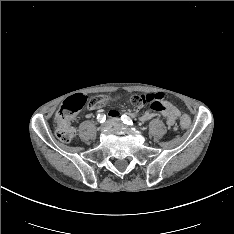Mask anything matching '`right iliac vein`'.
Returning a JSON list of instances; mask_svg holds the SVG:
<instances>
[{"label": "right iliac vein", "instance_id": "63e3f726", "mask_svg": "<svg viewBox=\"0 0 234 234\" xmlns=\"http://www.w3.org/2000/svg\"><path fill=\"white\" fill-rule=\"evenodd\" d=\"M110 127H111V122L107 121L101 126V130L105 131V130L109 129Z\"/></svg>", "mask_w": 234, "mask_h": 234}]
</instances>
